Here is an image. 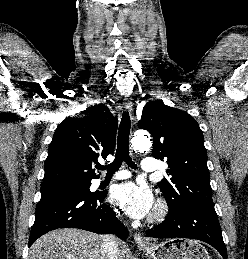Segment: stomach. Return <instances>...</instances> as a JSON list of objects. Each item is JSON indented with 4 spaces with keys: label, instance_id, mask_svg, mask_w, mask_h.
I'll use <instances>...</instances> for the list:
<instances>
[{
    "label": "stomach",
    "instance_id": "stomach-1",
    "mask_svg": "<svg viewBox=\"0 0 248 259\" xmlns=\"http://www.w3.org/2000/svg\"><path fill=\"white\" fill-rule=\"evenodd\" d=\"M149 259H210V256L198 241L190 239H171L160 244L140 245Z\"/></svg>",
    "mask_w": 248,
    "mask_h": 259
}]
</instances>
